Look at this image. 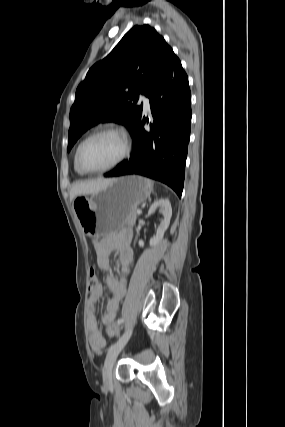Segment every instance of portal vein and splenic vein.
<instances>
[{
    "label": "portal vein and splenic vein",
    "instance_id": "18ae733b",
    "mask_svg": "<svg viewBox=\"0 0 285 427\" xmlns=\"http://www.w3.org/2000/svg\"><path fill=\"white\" fill-rule=\"evenodd\" d=\"M142 213V211L141 210H137V214H141Z\"/></svg>",
    "mask_w": 285,
    "mask_h": 427
}]
</instances>
